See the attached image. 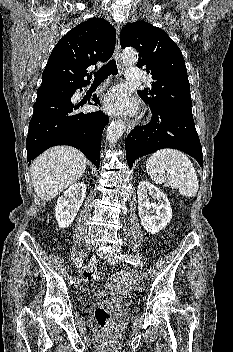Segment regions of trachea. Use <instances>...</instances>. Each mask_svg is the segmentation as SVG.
<instances>
[{
  "mask_svg": "<svg viewBox=\"0 0 233 352\" xmlns=\"http://www.w3.org/2000/svg\"><path fill=\"white\" fill-rule=\"evenodd\" d=\"M117 75L118 69L116 61L111 59L107 64H105L101 69L94 73V82H100L106 79L109 75Z\"/></svg>",
  "mask_w": 233,
  "mask_h": 352,
  "instance_id": "3493384b",
  "label": "trachea"
}]
</instances>
